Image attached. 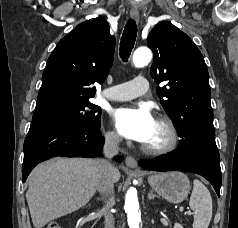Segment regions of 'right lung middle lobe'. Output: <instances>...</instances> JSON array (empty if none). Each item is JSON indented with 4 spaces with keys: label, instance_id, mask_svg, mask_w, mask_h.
Here are the masks:
<instances>
[{
    "label": "right lung middle lobe",
    "instance_id": "dd1d6c3e",
    "mask_svg": "<svg viewBox=\"0 0 238 228\" xmlns=\"http://www.w3.org/2000/svg\"><path fill=\"white\" fill-rule=\"evenodd\" d=\"M33 121H61L94 127L101 125V109L89 101H84L46 115L33 116Z\"/></svg>",
    "mask_w": 238,
    "mask_h": 228
}]
</instances>
